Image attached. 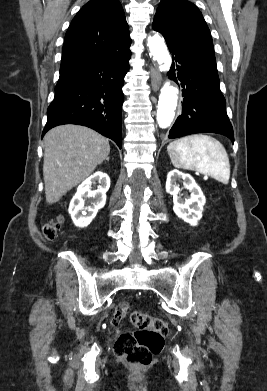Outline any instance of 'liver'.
Instances as JSON below:
<instances>
[{"mask_svg": "<svg viewBox=\"0 0 267 391\" xmlns=\"http://www.w3.org/2000/svg\"><path fill=\"white\" fill-rule=\"evenodd\" d=\"M110 153L108 140L89 128L62 125L44 137L43 177L48 204L87 178Z\"/></svg>", "mask_w": 267, "mask_h": 391, "instance_id": "6515ba94", "label": "liver"}]
</instances>
